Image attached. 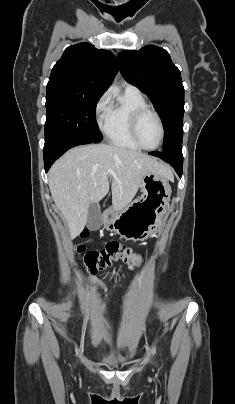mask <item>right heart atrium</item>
Returning <instances> with one entry per match:
<instances>
[{
  "mask_svg": "<svg viewBox=\"0 0 235 404\" xmlns=\"http://www.w3.org/2000/svg\"><path fill=\"white\" fill-rule=\"evenodd\" d=\"M111 106V98L108 92H105L97 100L94 107V115L99 127L103 128L106 117Z\"/></svg>",
  "mask_w": 235,
  "mask_h": 404,
  "instance_id": "1",
  "label": "right heart atrium"
}]
</instances>
